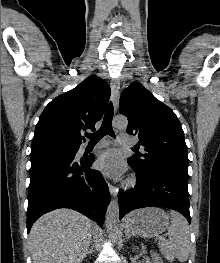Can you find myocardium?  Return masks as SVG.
<instances>
[{"label":"myocardium","instance_id":"obj_1","mask_svg":"<svg viewBox=\"0 0 220 263\" xmlns=\"http://www.w3.org/2000/svg\"><path fill=\"white\" fill-rule=\"evenodd\" d=\"M130 183H134V180L132 179V180L130 181Z\"/></svg>","mask_w":220,"mask_h":263}]
</instances>
